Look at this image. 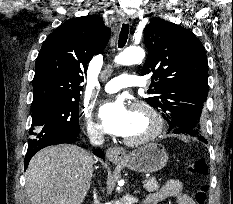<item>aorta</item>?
I'll return each mask as SVG.
<instances>
[{
	"label": "aorta",
	"mask_w": 233,
	"mask_h": 204,
	"mask_svg": "<svg viewBox=\"0 0 233 204\" xmlns=\"http://www.w3.org/2000/svg\"><path fill=\"white\" fill-rule=\"evenodd\" d=\"M144 57L145 52L141 47H129L116 56L114 61L119 65H133L142 62Z\"/></svg>",
	"instance_id": "1"
}]
</instances>
